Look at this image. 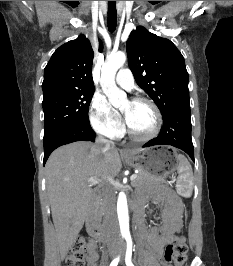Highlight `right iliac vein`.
Here are the masks:
<instances>
[{"mask_svg": "<svg viewBox=\"0 0 233 266\" xmlns=\"http://www.w3.org/2000/svg\"><path fill=\"white\" fill-rule=\"evenodd\" d=\"M115 254H116V252H115V251H111V252H110V256H111V257H114V256H115Z\"/></svg>", "mask_w": 233, "mask_h": 266, "instance_id": "63e3f726", "label": "right iliac vein"}]
</instances>
